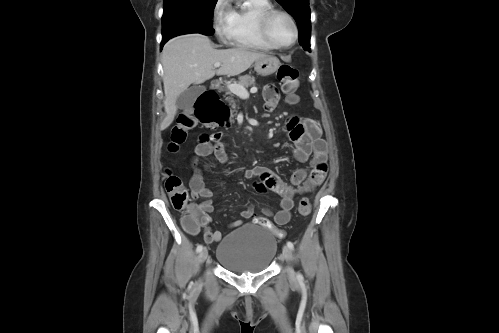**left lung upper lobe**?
Returning <instances> with one entry per match:
<instances>
[{
	"mask_svg": "<svg viewBox=\"0 0 499 333\" xmlns=\"http://www.w3.org/2000/svg\"><path fill=\"white\" fill-rule=\"evenodd\" d=\"M297 22L299 42L305 50H310V8L309 0H276Z\"/></svg>",
	"mask_w": 499,
	"mask_h": 333,
	"instance_id": "left-lung-upper-lobe-1",
	"label": "left lung upper lobe"
}]
</instances>
